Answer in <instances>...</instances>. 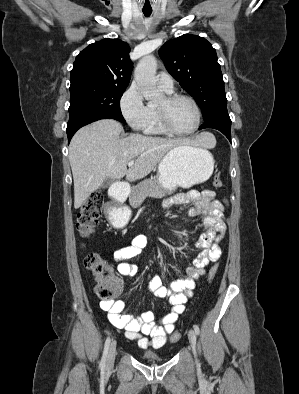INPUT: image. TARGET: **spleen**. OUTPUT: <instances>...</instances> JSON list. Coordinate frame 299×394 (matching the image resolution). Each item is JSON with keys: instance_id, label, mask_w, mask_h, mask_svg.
<instances>
[{"instance_id": "obj_1", "label": "spleen", "mask_w": 299, "mask_h": 394, "mask_svg": "<svg viewBox=\"0 0 299 394\" xmlns=\"http://www.w3.org/2000/svg\"><path fill=\"white\" fill-rule=\"evenodd\" d=\"M208 141H207V147H213L215 145V138L213 135L208 133Z\"/></svg>"}]
</instances>
